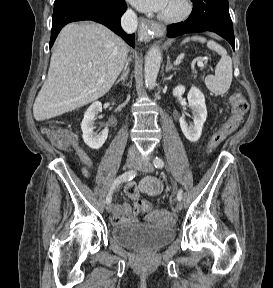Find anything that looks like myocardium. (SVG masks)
I'll return each mask as SVG.
<instances>
[{
	"label": "myocardium",
	"instance_id": "1",
	"mask_svg": "<svg viewBox=\"0 0 273 288\" xmlns=\"http://www.w3.org/2000/svg\"><path fill=\"white\" fill-rule=\"evenodd\" d=\"M182 3L183 9L181 12L173 15L160 13L159 19L167 23H177L187 19L193 11V2L192 0H182Z\"/></svg>",
	"mask_w": 273,
	"mask_h": 288
}]
</instances>
